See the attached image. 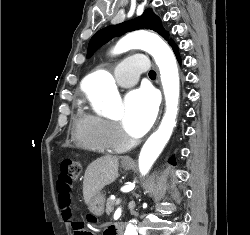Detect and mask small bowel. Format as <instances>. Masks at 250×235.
<instances>
[{
	"label": "small bowel",
	"mask_w": 250,
	"mask_h": 235,
	"mask_svg": "<svg viewBox=\"0 0 250 235\" xmlns=\"http://www.w3.org/2000/svg\"><path fill=\"white\" fill-rule=\"evenodd\" d=\"M58 207L62 217L67 221L70 215L71 191H63L58 188ZM68 222V221H67Z\"/></svg>",
	"instance_id": "1"
}]
</instances>
